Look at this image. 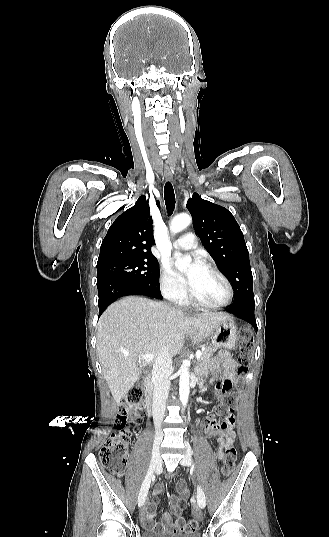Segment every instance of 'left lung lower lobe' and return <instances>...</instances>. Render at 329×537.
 I'll use <instances>...</instances> for the list:
<instances>
[{
	"mask_svg": "<svg viewBox=\"0 0 329 537\" xmlns=\"http://www.w3.org/2000/svg\"><path fill=\"white\" fill-rule=\"evenodd\" d=\"M227 312L241 318L257 330L256 319L254 315L255 305L241 303L237 305H232L225 309Z\"/></svg>",
	"mask_w": 329,
	"mask_h": 537,
	"instance_id": "obj_1",
	"label": "left lung lower lobe"
}]
</instances>
